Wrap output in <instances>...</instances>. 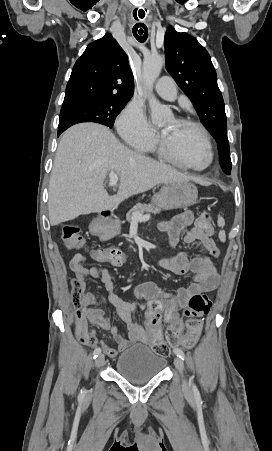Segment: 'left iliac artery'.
I'll return each mask as SVG.
<instances>
[{
    "label": "left iliac artery",
    "instance_id": "obj_1",
    "mask_svg": "<svg viewBox=\"0 0 272 451\" xmlns=\"http://www.w3.org/2000/svg\"><path fill=\"white\" fill-rule=\"evenodd\" d=\"M175 354L177 355V357H179L180 359H182L183 361L185 360V354L183 353V351L179 348L174 349ZM191 384H192V390L195 396L196 400H200L201 401V397H200V393L198 391V388L196 387V385L193 383V377H191Z\"/></svg>",
    "mask_w": 272,
    "mask_h": 451
}]
</instances>
